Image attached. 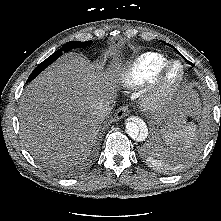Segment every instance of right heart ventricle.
I'll use <instances>...</instances> for the list:
<instances>
[{"label":"right heart ventricle","instance_id":"1","mask_svg":"<svg viewBox=\"0 0 221 221\" xmlns=\"http://www.w3.org/2000/svg\"><path fill=\"white\" fill-rule=\"evenodd\" d=\"M169 59L161 53L146 52L133 60L121 74V82L131 89H138L153 82Z\"/></svg>","mask_w":221,"mask_h":221}]
</instances>
